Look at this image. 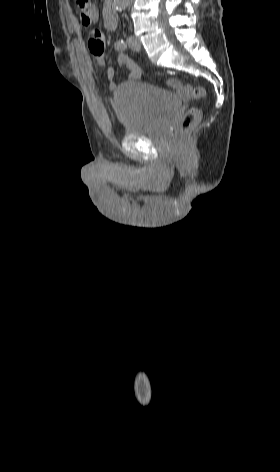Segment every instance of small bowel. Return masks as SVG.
Segmentation results:
<instances>
[{"instance_id": "small-bowel-1", "label": "small bowel", "mask_w": 280, "mask_h": 472, "mask_svg": "<svg viewBox=\"0 0 280 472\" xmlns=\"http://www.w3.org/2000/svg\"><path fill=\"white\" fill-rule=\"evenodd\" d=\"M89 50L93 56L95 63L99 66L106 67V77L110 81V87H115L113 79L115 76V69L112 66L106 65L104 55V35L100 30H93L90 33L88 41ZM117 64L119 67H126L129 70L128 78L136 80L140 76V68L136 62L128 55L122 53L118 56ZM168 83L173 87H180V83L176 79H169Z\"/></svg>"}]
</instances>
